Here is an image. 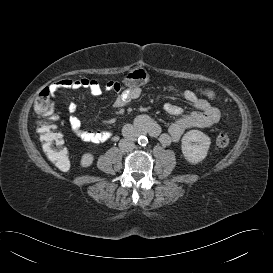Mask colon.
Masks as SVG:
<instances>
[{
  "label": "colon",
  "mask_w": 273,
  "mask_h": 273,
  "mask_svg": "<svg viewBox=\"0 0 273 273\" xmlns=\"http://www.w3.org/2000/svg\"><path fill=\"white\" fill-rule=\"evenodd\" d=\"M148 80L149 75L146 71L134 70L129 72L124 77L123 83L126 86L133 87L144 84L148 82ZM118 84L120 85V83ZM201 92L209 98L214 97V93L210 90H203ZM51 93L52 88L46 87L40 92L35 101L36 112L41 116H46L49 118V121L39 124L37 126V132L40 136L42 149L45 155L48 157V159L54 162L60 170L66 171L69 168L70 164L67 156V151L64 148L63 137L57 131V126L52 120L54 108L50 100ZM229 143L230 138L227 134H219L216 138V145L220 148L227 147Z\"/></svg>",
  "instance_id": "colon-1"
}]
</instances>
